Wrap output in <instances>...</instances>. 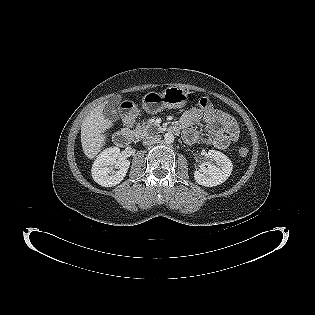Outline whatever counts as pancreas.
<instances>
[{
	"label": "pancreas",
	"mask_w": 315,
	"mask_h": 315,
	"mask_svg": "<svg viewBox=\"0 0 315 315\" xmlns=\"http://www.w3.org/2000/svg\"><path fill=\"white\" fill-rule=\"evenodd\" d=\"M153 123L150 121H143L142 123L137 124L134 130L130 131V136L135 139L144 138L149 134V130L153 127Z\"/></svg>",
	"instance_id": "pancreas-1"
}]
</instances>
